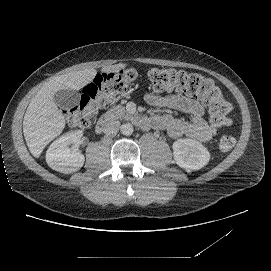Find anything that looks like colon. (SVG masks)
<instances>
[{"label": "colon", "mask_w": 271, "mask_h": 271, "mask_svg": "<svg viewBox=\"0 0 271 271\" xmlns=\"http://www.w3.org/2000/svg\"><path fill=\"white\" fill-rule=\"evenodd\" d=\"M137 71L133 67H123L116 72L98 74L85 88L76 106L66 111L67 122L71 126L86 128L96 114L117 95L124 94L135 85ZM154 93L177 92L200 98L209 108V127L217 130L231 124L232 105L223 97L216 83L198 72L173 68H152L148 72ZM232 135H224L219 141V150L229 152L235 146Z\"/></svg>", "instance_id": "colon-1"}]
</instances>
